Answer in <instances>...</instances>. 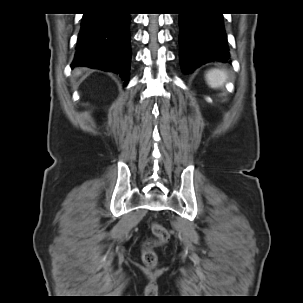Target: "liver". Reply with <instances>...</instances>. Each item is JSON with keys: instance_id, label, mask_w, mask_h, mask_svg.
Wrapping results in <instances>:
<instances>
[{"instance_id": "obj_1", "label": "liver", "mask_w": 303, "mask_h": 303, "mask_svg": "<svg viewBox=\"0 0 303 303\" xmlns=\"http://www.w3.org/2000/svg\"><path fill=\"white\" fill-rule=\"evenodd\" d=\"M76 74H80V72H79V71H77V72H76Z\"/></svg>"}]
</instances>
